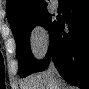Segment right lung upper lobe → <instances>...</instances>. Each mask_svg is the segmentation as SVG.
Returning <instances> with one entry per match:
<instances>
[{"label":"right lung upper lobe","instance_id":"1","mask_svg":"<svg viewBox=\"0 0 89 89\" xmlns=\"http://www.w3.org/2000/svg\"><path fill=\"white\" fill-rule=\"evenodd\" d=\"M48 0H7L6 15L12 26L18 21L47 10Z\"/></svg>","mask_w":89,"mask_h":89}]
</instances>
